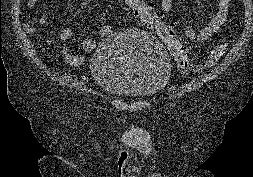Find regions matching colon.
<instances>
[{
    "mask_svg": "<svg viewBox=\"0 0 253 177\" xmlns=\"http://www.w3.org/2000/svg\"><path fill=\"white\" fill-rule=\"evenodd\" d=\"M123 8L131 10L143 25L150 29L167 47L178 70L198 73L201 70L214 66L228 47L224 40L219 41L200 63H194L188 56L187 47L177 36L173 22L167 21L155 11L153 3L146 0H120Z\"/></svg>",
    "mask_w": 253,
    "mask_h": 177,
    "instance_id": "1",
    "label": "colon"
}]
</instances>
